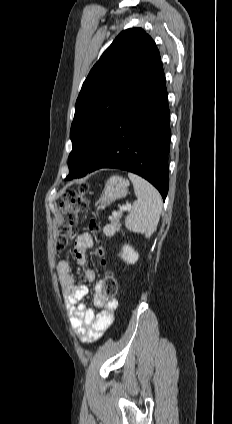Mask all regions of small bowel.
<instances>
[{
    "label": "small bowel",
    "instance_id": "1",
    "mask_svg": "<svg viewBox=\"0 0 232 424\" xmlns=\"http://www.w3.org/2000/svg\"><path fill=\"white\" fill-rule=\"evenodd\" d=\"M93 245L91 235L79 236L73 244V257L79 265H85L87 250ZM56 273L64 298L65 309L70 317V325L79 340L83 343H93L113 323V311L117 306L116 300H108L102 295V280H98L92 298V304L98 309L95 312L87 307L83 300L88 294V287L76 282L77 274L72 271L68 260L57 263ZM88 281L95 280V273L90 269L84 270Z\"/></svg>",
    "mask_w": 232,
    "mask_h": 424
}]
</instances>
